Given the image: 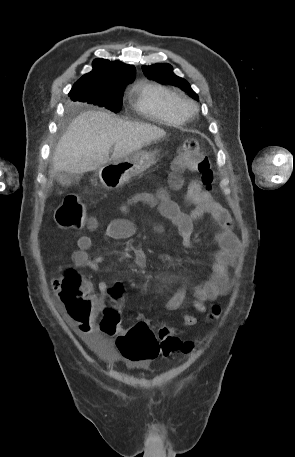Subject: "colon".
Instances as JSON below:
<instances>
[{
	"label": "colon",
	"mask_w": 295,
	"mask_h": 457,
	"mask_svg": "<svg viewBox=\"0 0 295 457\" xmlns=\"http://www.w3.org/2000/svg\"><path fill=\"white\" fill-rule=\"evenodd\" d=\"M175 175L171 179L173 187L181 185L179 174L186 171H196L201 176L204 189L212 190L213 171L208 158L201 152L199 142L195 139L186 140L178 150L173 160ZM57 224L66 229H81L86 225H93L87 217L85 206L76 195H68L56 211ZM55 290L67 314L74 318L87 321L91 318L93 296L90 286L83 277L73 269H66L55 280ZM123 289L118 286L111 291V295L119 297ZM220 307L214 305L209 315L216 317ZM118 316L113 309L103 310V319L100 329L107 334L117 331ZM120 359L127 360H160V356L169 357L175 353L190 355L194 349L193 341H180L168 328H162L157 338L145 321L137 322L128 332L119 334L116 342Z\"/></svg>",
	"instance_id": "obj_1"
}]
</instances>
